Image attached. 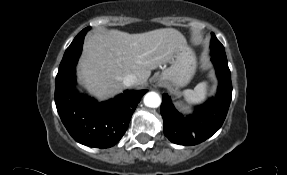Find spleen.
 Masks as SVG:
<instances>
[{"label":"spleen","mask_w":287,"mask_h":175,"mask_svg":"<svg viewBox=\"0 0 287 175\" xmlns=\"http://www.w3.org/2000/svg\"><path fill=\"white\" fill-rule=\"evenodd\" d=\"M184 99L190 104H200L204 102L208 95V83L201 82L196 85L194 90L187 89L183 91Z\"/></svg>","instance_id":"obj_1"}]
</instances>
